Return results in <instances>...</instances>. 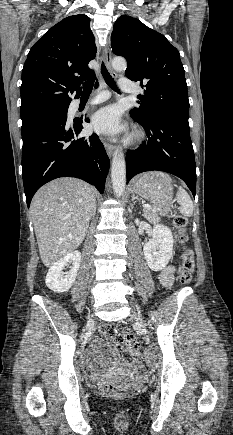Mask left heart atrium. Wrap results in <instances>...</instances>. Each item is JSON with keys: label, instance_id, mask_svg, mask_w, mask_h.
<instances>
[{"label": "left heart atrium", "instance_id": "1", "mask_svg": "<svg viewBox=\"0 0 233 435\" xmlns=\"http://www.w3.org/2000/svg\"><path fill=\"white\" fill-rule=\"evenodd\" d=\"M92 127L102 134H114L121 129V112L118 107L110 105L97 111L92 116Z\"/></svg>", "mask_w": 233, "mask_h": 435}]
</instances>
